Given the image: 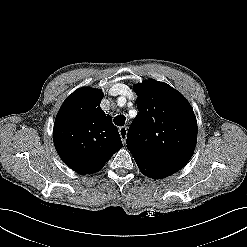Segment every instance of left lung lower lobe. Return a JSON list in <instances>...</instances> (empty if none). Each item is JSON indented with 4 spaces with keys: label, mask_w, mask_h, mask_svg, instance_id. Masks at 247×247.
Here are the masks:
<instances>
[{
    "label": "left lung lower lobe",
    "mask_w": 247,
    "mask_h": 247,
    "mask_svg": "<svg viewBox=\"0 0 247 247\" xmlns=\"http://www.w3.org/2000/svg\"><path fill=\"white\" fill-rule=\"evenodd\" d=\"M140 171L145 175L153 179H160L165 178L167 176H170L177 172V169L173 168H166V167H160L156 165H152L149 163H146L141 160H135Z\"/></svg>",
    "instance_id": "obj_1"
}]
</instances>
